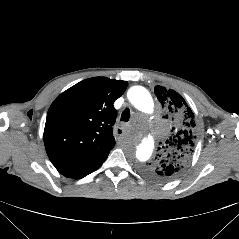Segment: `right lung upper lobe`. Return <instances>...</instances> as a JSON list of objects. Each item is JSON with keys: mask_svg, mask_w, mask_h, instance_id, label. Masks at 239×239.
Returning <instances> with one entry per match:
<instances>
[{"mask_svg": "<svg viewBox=\"0 0 239 239\" xmlns=\"http://www.w3.org/2000/svg\"><path fill=\"white\" fill-rule=\"evenodd\" d=\"M127 81L94 77L59 95L47 113L44 144L55 168L73 177L106 156L115 145L113 106Z\"/></svg>", "mask_w": 239, "mask_h": 239, "instance_id": "obj_1", "label": "right lung upper lobe"}]
</instances>
